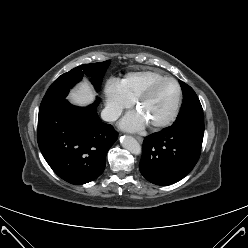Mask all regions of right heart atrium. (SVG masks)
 Here are the masks:
<instances>
[{"label":"right heart atrium","instance_id":"d8ad5b80","mask_svg":"<svg viewBox=\"0 0 248 248\" xmlns=\"http://www.w3.org/2000/svg\"><path fill=\"white\" fill-rule=\"evenodd\" d=\"M105 112L107 119L116 120L121 112L132 105L133 100L125 93L122 84L116 79H109L105 85Z\"/></svg>","mask_w":248,"mask_h":248}]
</instances>
